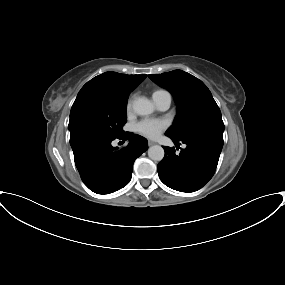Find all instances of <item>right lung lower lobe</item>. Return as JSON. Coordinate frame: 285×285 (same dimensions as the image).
<instances>
[{
	"label": "right lung lower lobe",
	"mask_w": 285,
	"mask_h": 285,
	"mask_svg": "<svg viewBox=\"0 0 285 285\" xmlns=\"http://www.w3.org/2000/svg\"><path fill=\"white\" fill-rule=\"evenodd\" d=\"M116 138L86 137L71 144L76 167L84 184L98 194L112 193L128 184L133 163L148 149L147 140L126 132L118 137L129 139L126 148L111 145Z\"/></svg>",
	"instance_id": "1"
}]
</instances>
